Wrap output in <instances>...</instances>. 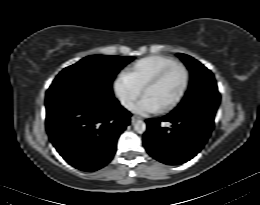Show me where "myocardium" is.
<instances>
[{
    "mask_svg": "<svg viewBox=\"0 0 260 205\" xmlns=\"http://www.w3.org/2000/svg\"><path fill=\"white\" fill-rule=\"evenodd\" d=\"M179 68L181 69L185 74V82L183 85V88L181 89L178 96L171 101L169 104L159 108V111L161 112H168L176 108L185 98L187 95L190 85H191V73L190 70L182 63H174L172 65H169L159 71L157 74H155L143 87L142 93L145 95L148 90H150L152 87H154L156 84H158L170 71L173 69Z\"/></svg>",
    "mask_w": 260,
    "mask_h": 205,
    "instance_id": "obj_1",
    "label": "myocardium"
}]
</instances>
